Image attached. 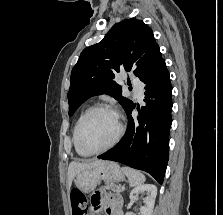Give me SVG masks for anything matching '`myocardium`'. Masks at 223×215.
<instances>
[{
    "instance_id": "1",
    "label": "myocardium",
    "mask_w": 223,
    "mask_h": 215,
    "mask_svg": "<svg viewBox=\"0 0 223 215\" xmlns=\"http://www.w3.org/2000/svg\"><path fill=\"white\" fill-rule=\"evenodd\" d=\"M99 110H107V111L111 112L112 114H114V116L116 117L117 122H118L117 134L114 137V139L112 140V142L109 145H107L106 147H104L103 149L98 150V151H84L82 149V147H81V144H80V135H81L82 127H83L84 123L86 122V120L93 113H95L96 111H99ZM123 133H124V125L122 123V120H121V117H120L119 113L112 106H110L108 104L98 103V104L92 106L91 108H89L84 113V115L81 117V119H80V121H79V123L77 125V128H76L75 144H76L77 150L82 155H85V156H97V155H99V154H101V153H103L105 151L113 149L119 143V141L121 140V138L123 136Z\"/></svg>"
}]
</instances>
